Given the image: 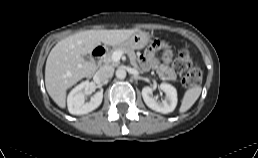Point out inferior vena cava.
Segmentation results:
<instances>
[{
  "label": "inferior vena cava",
  "mask_w": 258,
  "mask_h": 158,
  "mask_svg": "<svg viewBox=\"0 0 258 158\" xmlns=\"http://www.w3.org/2000/svg\"><path fill=\"white\" fill-rule=\"evenodd\" d=\"M114 69L110 66H102L95 74V80L99 82H104L111 78L113 75Z\"/></svg>",
  "instance_id": "obj_1"
}]
</instances>
